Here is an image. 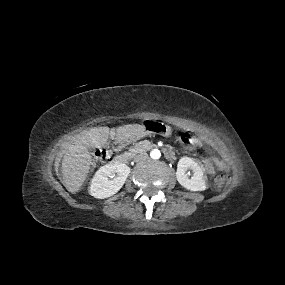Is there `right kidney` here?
<instances>
[{
	"instance_id": "1",
	"label": "right kidney",
	"mask_w": 285,
	"mask_h": 285,
	"mask_svg": "<svg viewBox=\"0 0 285 285\" xmlns=\"http://www.w3.org/2000/svg\"><path fill=\"white\" fill-rule=\"evenodd\" d=\"M130 168L124 163H109L100 167L92 178L89 193L98 199L116 194L124 185Z\"/></svg>"
}]
</instances>
